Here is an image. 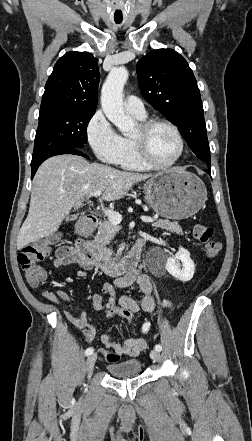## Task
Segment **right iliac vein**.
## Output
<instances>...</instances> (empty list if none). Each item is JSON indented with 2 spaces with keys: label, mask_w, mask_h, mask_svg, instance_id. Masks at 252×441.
<instances>
[{
  "label": "right iliac vein",
  "mask_w": 252,
  "mask_h": 441,
  "mask_svg": "<svg viewBox=\"0 0 252 441\" xmlns=\"http://www.w3.org/2000/svg\"><path fill=\"white\" fill-rule=\"evenodd\" d=\"M96 359H97V355H96V354H92V355H90V356L87 358V361H86V370H87L89 376L91 375V373H92V371H93V368H94V365H95Z\"/></svg>",
  "instance_id": "right-iliac-vein-1"
}]
</instances>
